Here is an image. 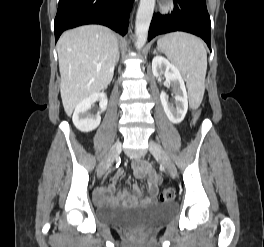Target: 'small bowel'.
I'll list each match as a JSON object with an SVG mask.
<instances>
[{"label": "small bowel", "instance_id": "1", "mask_svg": "<svg viewBox=\"0 0 264 247\" xmlns=\"http://www.w3.org/2000/svg\"><path fill=\"white\" fill-rule=\"evenodd\" d=\"M132 170L135 177L147 179L149 185L147 196L143 197L137 187L134 188V194L132 196H128L125 192L119 194L118 196H114V189L119 178L123 175V171H119L117 176L113 178L107 186L101 187L95 192V200L98 202H108L128 199L129 201L134 202L144 198L147 201H152L158 192L160 177L146 160L140 159L133 162Z\"/></svg>", "mask_w": 264, "mask_h": 247}]
</instances>
